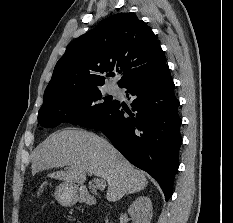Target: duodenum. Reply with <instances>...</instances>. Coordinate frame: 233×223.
Returning <instances> with one entry per match:
<instances>
[{"label": "duodenum", "instance_id": "duodenum-1", "mask_svg": "<svg viewBox=\"0 0 233 223\" xmlns=\"http://www.w3.org/2000/svg\"><path fill=\"white\" fill-rule=\"evenodd\" d=\"M77 199L81 203H85L87 205H95L96 204V198L89 193L86 189H81L77 193Z\"/></svg>", "mask_w": 233, "mask_h": 223}]
</instances>
